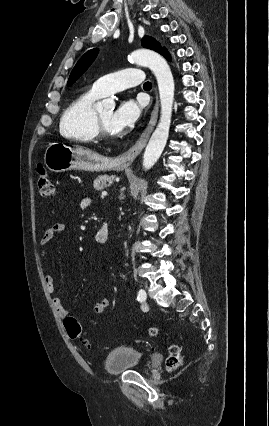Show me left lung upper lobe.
I'll use <instances>...</instances> for the list:
<instances>
[{
    "instance_id": "obj_1",
    "label": "left lung upper lobe",
    "mask_w": 269,
    "mask_h": 426,
    "mask_svg": "<svg viewBox=\"0 0 269 426\" xmlns=\"http://www.w3.org/2000/svg\"><path fill=\"white\" fill-rule=\"evenodd\" d=\"M142 45L145 48H149L152 50H155L156 52H159L163 49L161 45L153 38L149 36H145L142 39ZM98 54V49H92L86 52L80 60L75 65L74 69L72 70L67 85H72L91 65V63L95 60L96 56Z\"/></svg>"
}]
</instances>
